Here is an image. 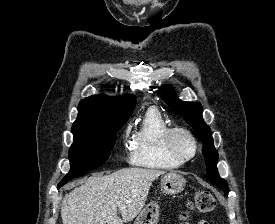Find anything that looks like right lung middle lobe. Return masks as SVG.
Masks as SVG:
<instances>
[{
	"label": "right lung middle lobe",
	"mask_w": 275,
	"mask_h": 224,
	"mask_svg": "<svg viewBox=\"0 0 275 224\" xmlns=\"http://www.w3.org/2000/svg\"><path fill=\"white\" fill-rule=\"evenodd\" d=\"M126 121L72 127L74 137L69 150L71 169L58 186L104 163L113 149L117 131Z\"/></svg>",
	"instance_id": "dd1d6c3e"
}]
</instances>
